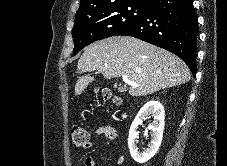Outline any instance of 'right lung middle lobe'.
<instances>
[{
    "label": "right lung middle lobe",
    "mask_w": 227,
    "mask_h": 166,
    "mask_svg": "<svg viewBox=\"0 0 227 166\" xmlns=\"http://www.w3.org/2000/svg\"><path fill=\"white\" fill-rule=\"evenodd\" d=\"M148 5L127 3L76 14L72 30L74 54L94 41L115 36L140 20Z\"/></svg>",
    "instance_id": "1"
}]
</instances>
